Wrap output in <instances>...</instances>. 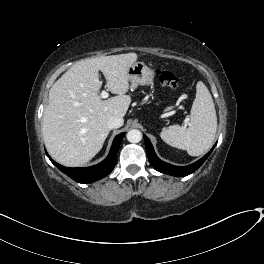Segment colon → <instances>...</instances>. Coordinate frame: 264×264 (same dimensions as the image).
Returning a JSON list of instances; mask_svg holds the SVG:
<instances>
[{"label": "colon", "mask_w": 264, "mask_h": 264, "mask_svg": "<svg viewBox=\"0 0 264 264\" xmlns=\"http://www.w3.org/2000/svg\"><path fill=\"white\" fill-rule=\"evenodd\" d=\"M158 78L160 82L169 88L175 89L179 86V79L177 76L165 68H161L157 71Z\"/></svg>", "instance_id": "colon-1"}]
</instances>
